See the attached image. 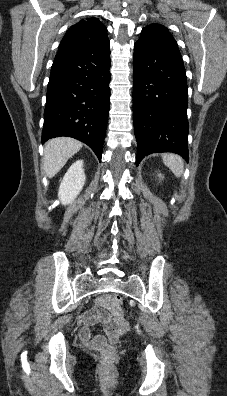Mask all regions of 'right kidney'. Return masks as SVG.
<instances>
[{
  "instance_id": "obj_1",
  "label": "right kidney",
  "mask_w": 227,
  "mask_h": 396,
  "mask_svg": "<svg viewBox=\"0 0 227 396\" xmlns=\"http://www.w3.org/2000/svg\"><path fill=\"white\" fill-rule=\"evenodd\" d=\"M85 180L83 160H78L71 165L61 181L58 197L63 205H68L74 201L82 190Z\"/></svg>"
}]
</instances>
